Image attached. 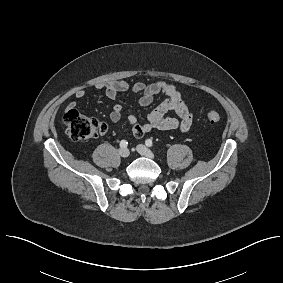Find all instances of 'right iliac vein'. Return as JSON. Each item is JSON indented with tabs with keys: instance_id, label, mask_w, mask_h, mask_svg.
<instances>
[{
	"instance_id": "63e3f726",
	"label": "right iliac vein",
	"mask_w": 283,
	"mask_h": 283,
	"mask_svg": "<svg viewBox=\"0 0 283 283\" xmlns=\"http://www.w3.org/2000/svg\"><path fill=\"white\" fill-rule=\"evenodd\" d=\"M130 154L129 150L127 148H121L119 149V155L123 158L128 157Z\"/></svg>"
}]
</instances>
